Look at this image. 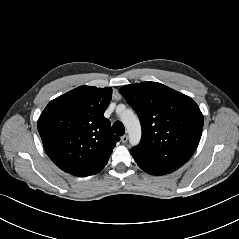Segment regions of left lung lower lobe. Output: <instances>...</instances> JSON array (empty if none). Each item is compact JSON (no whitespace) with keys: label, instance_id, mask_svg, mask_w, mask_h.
<instances>
[{"label":"left lung lower lobe","instance_id":"1","mask_svg":"<svg viewBox=\"0 0 239 239\" xmlns=\"http://www.w3.org/2000/svg\"><path fill=\"white\" fill-rule=\"evenodd\" d=\"M138 165H139V164H138ZM139 167H140L142 170H144L145 172L149 173V174H152V175H163V174H161V173H158V172H156V171H153V170H151V169H148V168H146V167H144V166H142V165H139Z\"/></svg>","mask_w":239,"mask_h":239}]
</instances>
